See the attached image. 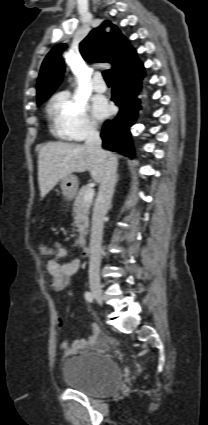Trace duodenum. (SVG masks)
Returning <instances> with one entry per match:
<instances>
[{
    "instance_id": "duodenum-1",
    "label": "duodenum",
    "mask_w": 208,
    "mask_h": 425,
    "mask_svg": "<svg viewBox=\"0 0 208 425\" xmlns=\"http://www.w3.org/2000/svg\"><path fill=\"white\" fill-rule=\"evenodd\" d=\"M82 253H83L84 255H89V254H90V248H89V246H87V245H83V246H82Z\"/></svg>"
}]
</instances>
